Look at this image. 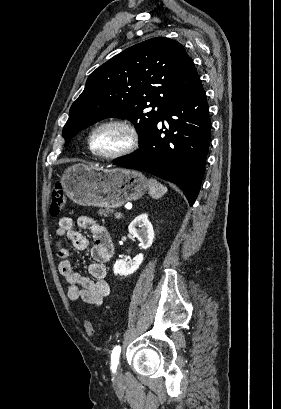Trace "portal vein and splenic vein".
<instances>
[{
	"mask_svg": "<svg viewBox=\"0 0 281 409\" xmlns=\"http://www.w3.org/2000/svg\"><path fill=\"white\" fill-rule=\"evenodd\" d=\"M113 216L116 217V219H121V217L123 216L122 212H114Z\"/></svg>",
	"mask_w": 281,
	"mask_h": 409,
	"instance_id": "obj_1",
	"label": "portal vein and splenic vein"
}]
</instances>
